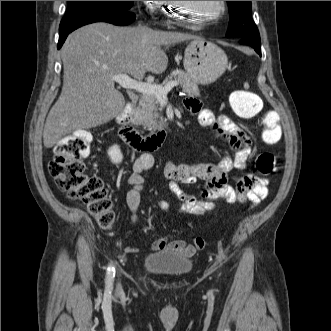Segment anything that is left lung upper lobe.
<instances>
[{
  "label": "left lung upper lobe",
  "mask_w": 331,
  "mask_h": 331,
  "mask_svg": "<svg viewBox=\"0 0 331 331\" xmlns=\"http://www.w3.org/2000/svg\"><path fill=\"white\" fill-rule=\"evenodd\" d=\"M230 21L226 37H258L259 32L251 18V1H227Z\"/></svg>",
  "instance_id": "1"
}]
</instances>
